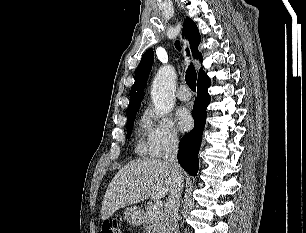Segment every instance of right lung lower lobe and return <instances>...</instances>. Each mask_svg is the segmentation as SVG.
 <instances>
[{
  "mask_svg": "<svg viewBox=\"0 0 306 233\" xmlns=\"http://www.w3.org/2000/svg\"><path fill=\"white\" fill-rule=\"evenodd\" d=\"M209 87L210 79L206 74L198 77V97L195 99L192 111L195 126L189 134L183 136L179 143L178 162L185 171L193 176H196L199 167L198 152L205 126L206 107L210 103V96L208 94Z\"/></svg>",
  "mask_w": 306,
  "mask_h": 233,
  "instance_id": "obj_1",
  "label": "right lung lower lobe"
}]
</instances>
